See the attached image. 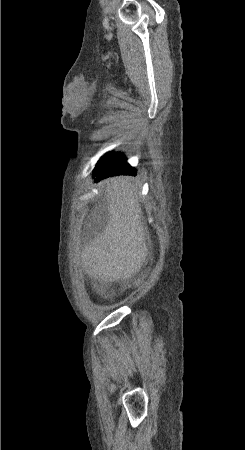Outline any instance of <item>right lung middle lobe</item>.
<instances>
[{
	"mask_svg": "<svg viewBox=\"0 0 245 450\" xmlns=\"http://www.w3.org/2000/svg\"><path fill=\"white\" fill-rule=\"evenodd\" d=\"M105 156H106V155H105ZM105 156H103V157L99 160V162L97 163V165L103 160V158H104Z\"/></svg>",
	"mask_w": 245,
	"mask_h": 450,
	"instance_id": "dd1d6c3e",
	"label": "right lung middle lobe"
}]
</instances>
